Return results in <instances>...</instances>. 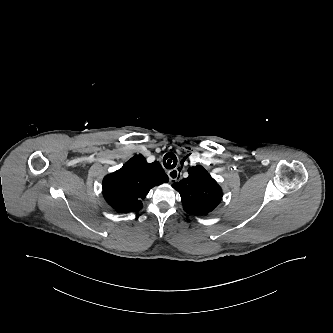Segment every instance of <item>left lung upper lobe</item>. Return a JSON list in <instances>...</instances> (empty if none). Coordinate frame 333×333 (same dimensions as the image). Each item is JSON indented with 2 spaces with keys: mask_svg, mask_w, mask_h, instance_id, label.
Masks as SVG:
<instances>
[{
  "mask_svg": "<svg viewBox=\"0 0 333 333\" xmlns=\"http://www.w3.org/2000/svg\"><path fill=\"white\" fill-rule=\"evenodd\" d=\"M189 176L172 186L181 196L184 211L190 215H206L217 207L222 190L200 165L188 169Z\"/></svg>",
  "mask_w": 333,
  "mask_h": 333,
  "instance_id": "obj_1",
  "label": "left lung upper lobe"
}]
</instances>
